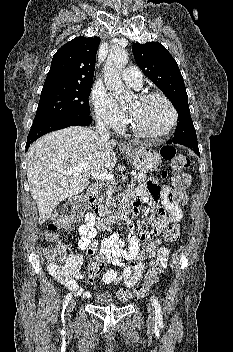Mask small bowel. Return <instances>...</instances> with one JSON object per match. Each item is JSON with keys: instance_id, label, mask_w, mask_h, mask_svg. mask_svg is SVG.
<instances>
[{"instance_id": "1", "label": "small bowel", "mask_w": 233, "mask_h": 352, "mask_svg": "<svg viewBox=\"0 0 233 352\" xmlns=\"http://www.w3.org/2000/svg\"><path fill=\"white\" fill-rule=\"evenodd\" d=\"M171 194L168 186H162L155 180H149L146 185L129 194L135 213L148 198H151L154 202L153 212L156 217L149 228H143L140 225L135 228L131 222H128L131 233L128 236L127 246L117 233H113L101 242L96 240L98 229L95 227L92 214L88 213L85 223L78 227L76 238L77 247L85 253L84 255L73 253L67 257L74 271L69 277L59 279L60 282L76 296L89 298L90 293L78 283L84 277L80 268L84 258L93 257L97 251L107 257L108 263L121 269L120 273L116 270L106 271L102 277L106 284L123 283L127 287L136 285L145 269L144 260L155 256H157V261L165 267L169 252L166 248L160 247V235L170 223L178 222L182 218V210L171 200ZM142 242L146 244L144 252L141 251ZM124 260L132 261V263L127 265Z\"/></svg>"}]
</instances>
